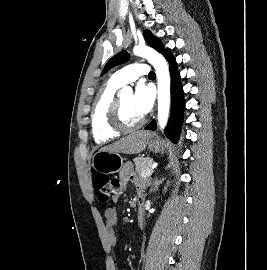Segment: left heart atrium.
I'll list each match as a JSON object with an SVG mask.
<instances>
[{"label":"left heart atrium","instance_id":"1","mask_svg":"<svg viewBox=\"0 0 267 270\" xmlns=\"http://www.w3.org/2000/svg\"><path fill=\"white\" fill-rule=\"evenodd\" d=\"M154 95L152 89L144 83H139L133 96V106L135 111L141 116H145L152 108Z\"/></svg>","mask_w":267,"mask_h":270}]
</instances>
